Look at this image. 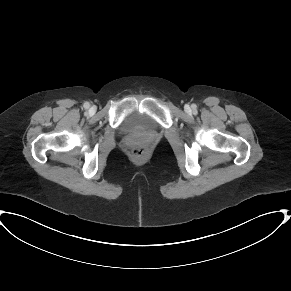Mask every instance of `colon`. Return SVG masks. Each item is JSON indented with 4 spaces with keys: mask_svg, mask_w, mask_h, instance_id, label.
Here are the masks:
<instances>
[{
    "mask_svg": "<svg viewBox=\"0 0 291 291\" xmlns=\"http://www.w3.org/2000/svg\"><path fill=\"white\" fill-rule=\"evenodd\" d=\"M146 153H147L146 149L142 146H135L132 149V156L136 159L144 158Z\"/></svg>",
    "mask_w": 291,
    "mask_h": 291,
    "instance_id": "1",
    "label": "colon"
}]
</instances>
